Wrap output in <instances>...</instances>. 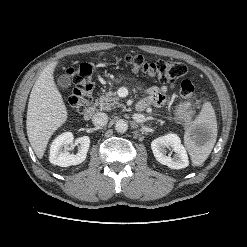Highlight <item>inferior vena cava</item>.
I'll return each instance as SVG.
<instances>
[{
	"label": "inferior vena cava",
	"mask_w": 247,
	"mask_h": 247,
	"mask_svg": "<svg viewBox=\"0 0 247 247\" xmlns=\"http://www.w3.org/2000/svg\"><path fill=\"white\" fill-rule=\"evenodd\" d=\"M92 122L95 126H104L108 122V115L103 112L95 113L92 117Z\"/></svg>",
	"instance_id": "1"
}]
</instances>
